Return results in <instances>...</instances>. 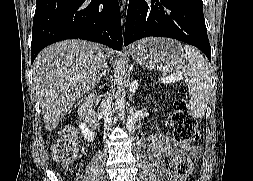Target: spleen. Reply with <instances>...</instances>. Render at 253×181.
I'll use <instances>...</instances> for the list:
<instances>
[{"label":"spleen","mask_w":253,"mask_h":181,"mask_svg":"<svg viewBox=\"0 0 253 181\" xmlns=\"http://www.w3.org/2000/svg\"><path fill=\"white\" fill-rule=\"evenodd\" d=\"M184 57L188 65L181 74L189 77L188 91L191 94L190 111L194 117L204 116L209 99L210 72L206 59L189 45L184 46Z\"/></svg>","instance_id":"1"}]
</instances>
